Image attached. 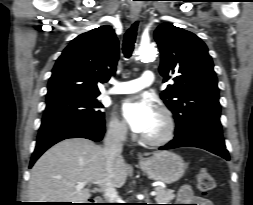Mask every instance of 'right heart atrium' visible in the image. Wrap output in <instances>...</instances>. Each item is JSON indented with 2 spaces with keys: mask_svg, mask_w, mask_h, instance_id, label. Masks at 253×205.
<instances>
[{
  "mask_svg": "<svg viewBox=\"0 0 253 205\" xmlns=\"http://www.w3.org/2000/svg\"><path fill=\"white\" fill-rule=\"evenodd\" d=\"M109 134L116 139H124L127 135L126 124L117 117H111L108 124Z\"/></svg>",
  "mask_w": 253,
  "mask_h": 205,
  "instance_id": "obj_1",
  "label": "right heart atrium"
}]
</instances>
